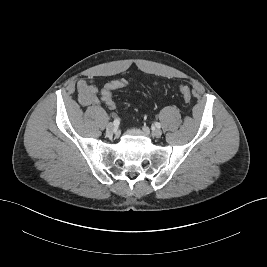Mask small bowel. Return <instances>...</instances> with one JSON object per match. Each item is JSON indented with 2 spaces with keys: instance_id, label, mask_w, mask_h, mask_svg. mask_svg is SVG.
Instances as JSON below:
<instances>
[{
  "instance_id": "c3829d8e",
  "label": "small bowel",
  "mask_w": 267,
  "mask_h": 267,
  "mask_svg": "<svg viewBox=\"0 0 267 267\" xmlns=\"http://www.w3.org/2000/svg\"><path fill=\"white\" fill-rule=\"evenodd\" d=\"M78 99L83 106L99 105L101 99L98 89L92 81L81 80L78 82Z\"/></svg>"
}]
</instances>
